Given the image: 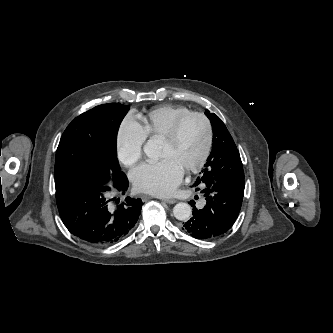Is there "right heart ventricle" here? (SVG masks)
Instances as JSON below:
<instances>
[{
	"label": "right heart ventricle",
	"instance_id": "e07e8e85",
	"mask_svg": "<svg viewBox=\"0 0 333 333\" xmlns=\"http://www.w3.org/2000/svg\"><path fill=\"white\" fill-rule=\"evenodd\" d=\"M191 112L184 106H160L141 117V126L148 138L164 137L174 122Z\"/></svg>",
	"mask_w": 333,
	"mask_h": 333
}]
</instances>
